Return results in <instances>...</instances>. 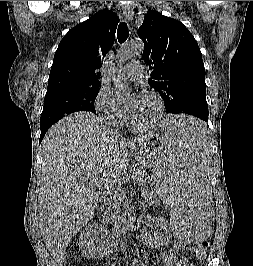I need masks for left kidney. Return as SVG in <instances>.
I'll list each match as a JSON object with an SVG mask.
<instances>
[{
  "label": "left kidney",
  "mask_w": 253,
  "mask_h": 266,
  "mask_svg": "<svg viewBox=\"0 0 253 266\" xmlns=\"http://www.w3.org/2000/svg\"><path fill=\"white\" fill-rule=\"evenodd\" d=\"M156 224L160 227L159 232H155L154 234L148 233L145 229L140 231V236L142 240L147 246L157 248L167 244L171 239V233L168 222L158 217L156 218Z\"/></svg>",
  "instance_id": "5707ae66"
}]
</instances>
